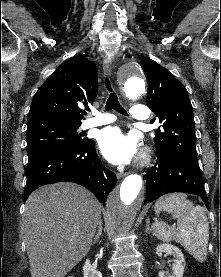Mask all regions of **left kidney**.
I'll return each mask as SVG.
<instances>
[{
    "instance_id": "5707ae66",
    "label": "left kidney",
    "mask_w": 221,
    "mask_h": 277,
    "mask_svg": "<svg viewBox=\"0 0 221 277\" xmlns=\"http://www.w3.org/2000/svg\"><path fill=\"white\" fill-rule=\"evenodd\" d=\"M167 253L169 255H172L174 258V262H173V273L169 276H165V272L164 271H160L159 272V277H183V273H184V266H185V259H184V255L182 253V251L176 247L173 246L169 243H163V244H159L156 247V253Z\"/></svg>"
}]
</instances>
